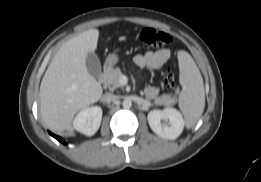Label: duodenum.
I'll return each mask as SVG.
<instances>
[{"label":"duodenum","mask_w":261,"mask_h":182,"mask_svg":"<svg viewBox=\"0 0 261 182\" xmlns=\"http://www.w3.org/2000/svg\"><path fill=\"white\" fill-rule=\"evenodd\" d=\"M107 71H108V68H104V72H103V74L101 75L100 82H104V80H105V75H106Z\"/></svg>","instance_id":"obj_1"}]
</instances>
